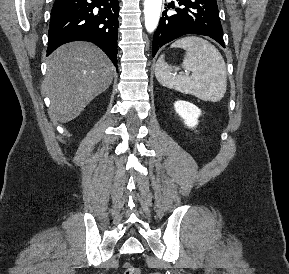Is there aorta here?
<instances>
[{
	"label": "aorta",
	"instance_id": "aorta-1",
	"mask_svg": "<svg viewBox=\"0 0 289 274\" xmlns=\"http://www.w3.org/2000/svg\"><path fill=\"white\" fill-rule=\"evenodd\" d=\"M162 0H145L144 16L145 27L148 32H153L159 22Z\"/></svg>",
	"mask_w": 289,
	"mask_h": 274
}]
</instances>
